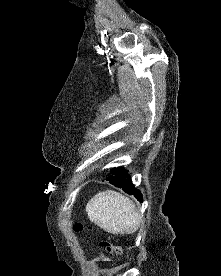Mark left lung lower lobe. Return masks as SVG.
<instances>
[{"label":"left lung lower lobe","mask_w":221,"mask_h":276,"mask_svg":"<svg viewBox=\"0 0 221 276\" xmlns=\"http://www.w3.org/2000/svg\"><path fill=\"white\" fill-rule=\"evenodd\" d=\"M106 180L115 187L123 189L127 194L134 195L138 201L143 202L140 191L134 187L131 177L128 175V171L123 167L111 169L110 175Z\"/></svg>","instance_id":"1"}]
</instances>
